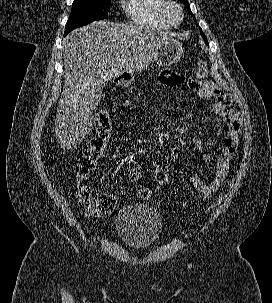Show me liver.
<instances>
[{
	"instance_id": "1",
	"label": "liver",
	"mask_w": 272,
	"mask_h": 303,
	"mask_svg": "<svg viewBox=\"0 0 272 303\" xmlns=\"http://www.w3.org/2000/svg\"><path fill=\"white\" fill-rule=\"evenodd\" d=\"M172 36L131 23L97 21L65 37L64 86L54 127L63 148L75 146L92 131V115L103 97V82L123 72L143 71L159 45Z\"/></svg>"
}]
</instances>
